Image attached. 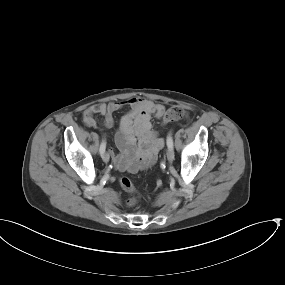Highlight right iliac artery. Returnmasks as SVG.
I'll return each mask as SVG.
<instances>
[{"mask_svg":"<svg viewBox=\"0 0 285 285\" xmlns=\"http://www.w3.org/2000/svg\"><path fill=\"white\" fill-rule=\"evenodd\" d=\"M105 148H106V141L103 140L102 143H101V145H100V149H99L100 154H103V153H104Z\"/></svg>","mask_w":285,"mask_h":285,"instance_id":"right-iliac-artery-1","label":"right iliac artery"}]
</instances>
